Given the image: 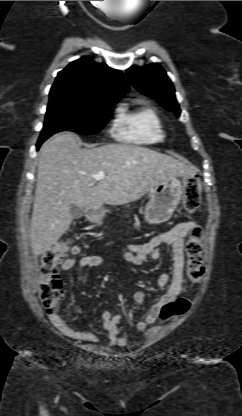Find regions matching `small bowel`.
I'll return each mask as SVG.
<instances>
[{
  "label": "small bowel",
  "instance_id": "c3829d8e",
  "mask_svg": "<svg viewBox=\"0 0 242 416\" xmlns=\"http://www.w3.org/2000/svg\"><path fill=\"white\" fill-rule=\"evenodd\" d=\"M197 226L195 219L177 223L170 230L155 234L150 240L143 243H131L122 248V257L125 261L133 265H143L149 259H156L160 256V247L168 245L172 248L173 264L169 272L163 273L157 279L156 285L159 289L167 287L166 292L154 303L144 319L136 324L139 331L145 330L152 325L160 315L162 307L177 299L186 291V279L184 277L185 260V239L190 230ZM106 260L98 255H84L79 257H69L61 264L64 271L74 267L103 268ZM147 293L138 290L134 294V300L142 304ZM102 327L108 335L110 345L114 347H125L126 337L120 334L119 323L122 320L120 314L112 315L109 311L101 314ZM54 326L66 337L78 342L94 343L99 341V332L78 331L73 329L67 321L60 315H50Z\"/></svg>",
  "mask_w": 242,
  "mask_h": 416
}]
</instances>
